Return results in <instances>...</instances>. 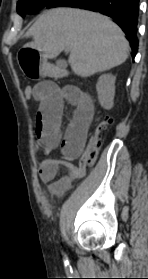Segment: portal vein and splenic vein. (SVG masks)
Masks as SVG:
<instances>
[{
    "label": "portal vein and splenic vein",
    "mask_w": 148,
    "mask_h": 279,
    "mask_svg": "<svg viewBox=\"0 0 148 279\" xmlns=\"http://www.w3.org/2000/svg\"><path fill=\"white\" fill-rule=\"evenodd\" d=\"M65 51L68 52V51H70V49H69V48H66Z\"/></svg>",
    "instance_id": "obj_1"
}]
</instances>
